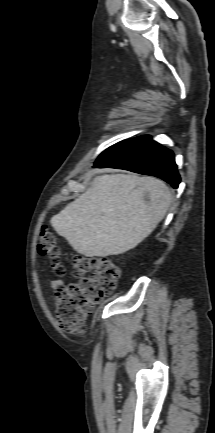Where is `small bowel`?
Wrapping results in <instances>:
<instances>
[{
	"label": "small bowel",
	"instance_id": "obj_1",
	"mask_svg": "<svg viewBox=\"0 0 215 433\" xmlns=\"http://www.w3.org/2000/svg\"><path fill=\"white\" fill-rule=\"evenodd\" d=\"M62 285V282L59 280H55L52 282V287L57 288Z\"/></svg>",
	"mask_w": 215,
	"mask_h": 433
}]
</instances>
